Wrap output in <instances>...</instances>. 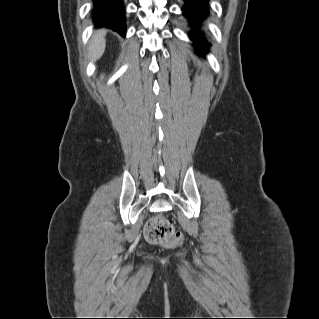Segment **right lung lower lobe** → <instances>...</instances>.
Listing matches in <instances>:
<instances>
[{"mask_svg":"<svg viewBox=\"0 0 319 319\" xmlns=\"http://www.w3.org/2000/svg\"><path fill=\"white\" fill-rule=\"evenodd\" d=\"M93 19L97 27L111 28L125 36V17L122 0H93Z\"/></svg>","mask_w":319,"mask_h":319,"instance_id":"98d812e1","label":"right lung lower lobe"}]
</instances>
